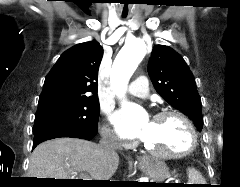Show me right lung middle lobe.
I'll return each instance as SVG.
<instances>
[{"mask_svg": "<svg viewBox=\"0 0 240 187\" xmlns=\"http://www.w3.org/2000/svg\"><path fill=\"white\" fill-rule=\"evenodd\" d=\"M100 107L98 100H61L38 105L33 133L59 127L90 133L97 130Z\"/></svg>", "mask_w": 240, "mask_h": 187, "instance_id": "obj_1", "label": "right lung middle lobe"}]
</instances>
